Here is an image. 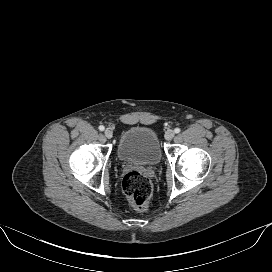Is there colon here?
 Instances as JSON below:
<instances>
[{
	"instance_id": "obj_1",
	"label": "colon",
	"mask_w": 272,
	"mask_h": 272,
	"mask_svg": "<svg viewBox=\"0 0 272 272\" xmlns=\"http://www.w3.org/2000/svg\"><path fill=\"white\" fill-rule=\"evenodd\" d=\"M122 189L128 202L138 210H145L152 195V183L139 171L127 173L122 180Z\"/></svg>"
}]
</instances>
